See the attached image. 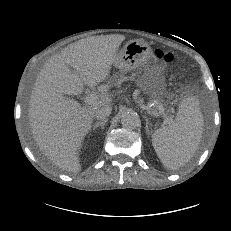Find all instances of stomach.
I'll return each mask as SVG.
<instances>
[{
    "instance_id": "stomach-1",
    "label": "stomach",
    "mask_w": 231,
    "mask_h": 231,
    "mask_svg": "<svg viewBox=\"0 0 231 231\" xmlns=\"http://www.w3.org/2000/svg\"><path fill=\"white\" fill-rule=\"evenodd\" d=\"M152 58V49L143 39L128 41L115 56L114 66L120 71H132L138 69ZM141 88L153 98H161L165 80L161 72H148L140 79Z\"/></svg>"
}]
</instances>
